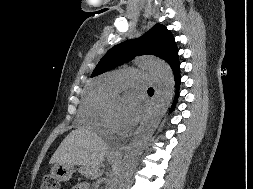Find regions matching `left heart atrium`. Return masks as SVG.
<instances>
[{"label":"left heart atrium","mask_w":253,"mask_h":189,"mask_svg":"<svg viewBox=\"0 0 253 189\" xmlns=\"http://www.w3.org/2000/svg\"><path fill=\"white\" fill-rule=\"evenodd\" d=\"M142 113L140 100L131 95L128 97L126 105L120 115V124L122 128H130L137 123Z\"/></svg>","instance_id":"39dd6f15"}]
</instances>
